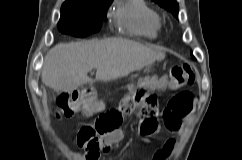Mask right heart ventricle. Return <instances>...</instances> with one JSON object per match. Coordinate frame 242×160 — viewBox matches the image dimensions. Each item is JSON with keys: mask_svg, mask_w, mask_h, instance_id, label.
Segmentation results:
<instances>
[{"mask_svg": "<svg viewBox=\"0 0 242 160\" xmlns=\"http://www.w3.org/2000/svg\"><path fill=\"white\" fill-rule=\"evenodd\" d=\"M113 21L122 31L148 39H155L162 28L160 15L145 0H120Z\"/></svg>", "mask_w": 242, "mask_h": 160, "instance_id": "e07e8e85", "label": "right heart ventricle"}]
</instances>
